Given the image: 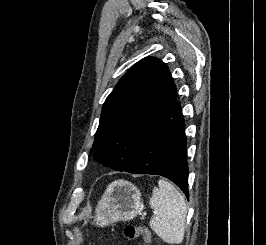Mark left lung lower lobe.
Instances as JSON below:
<instances>
[{
	"instance_id": "obj_1",
	"label": "left lung lower lobe",
	"mask_w": 266,
	"mask_h": 245,
	"mask_svg": "<svg viewBox=\"0 0 266 245\" xmlns=\"http://www.w3.org/2000/svg\"><path fill=\"white\" fill-rule=\"evenodd\" d=\"M184 118L174 102L141 138L126 172L160 175L174 182L188 197V166Z\"/></svg>"
}]
</instances>
